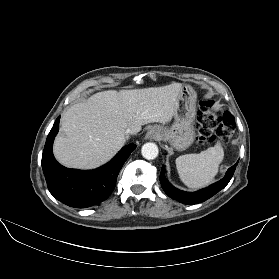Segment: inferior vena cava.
<instances>
[{
    "label": "inferior vena cava",
    "mask_w": 279,
    "mask_h": 279,
    "mask_svg": "<svg viewBox=\"0 0 279 279\" xmlns=\"http://www.w3.org/2000/svg\"><path fill=\"white\" fill-rule=\"evenodd\" d=\"M126 133H127V134H130V135L135 134V132H134V131H132L131 129H128V130L126 131Z\"/></svg>",
    "instance_id": "602c4592"
}]
</instances>
